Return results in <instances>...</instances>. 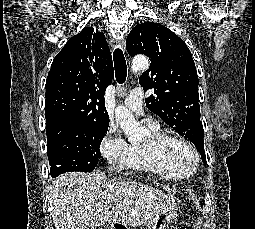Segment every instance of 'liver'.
I'll list each match as a JSON object with an SVG mask.
<instances>
[{
    "label": "liver",
    "instance_id": "obj_1",
    "mask_svg": "<svg viewBox=\"0 0 255 229\" xmlns=\"http://www.w3.org/2000/svg\"><path fill=\"white\" fill-rule=\"evenodd\" d=\"M49 191L56 229H87L105 223L140 226L175 200L141 182H107L100 170L63 174Z\"/></svg>",
    "mask_w": 255,
    "mask_h": 229
}]
</instances>
